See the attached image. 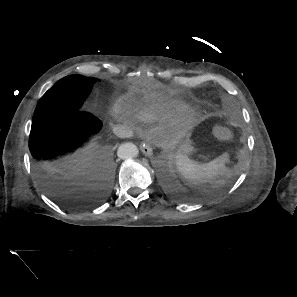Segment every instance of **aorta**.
<instances>
[{"instance_id": "762f6f07", "label": "aorta", "mask_w": 297, "mask_h": 297, "mask_svg": "<svg viewBox=\"0 0 297 297\" xmlns=\"http://www.w3.org/2000/svg\"><path fill=\"white\" fill-rule=\"evenodd\" d=\"M139 151L135 144L124 143L118 148L117 155L121 159H132L138 155Z\"/></svg>"}]
</instances>
